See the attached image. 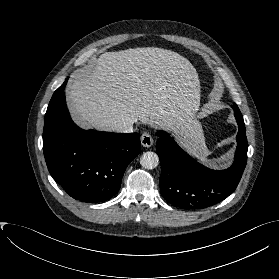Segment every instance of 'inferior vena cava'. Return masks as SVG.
<instances>
[{"label": "inferior vena cava", "mask_w": 279, "mask_h": 279, "mask_svg": "<svg viewBox=\"0 0 279 279\" xmlns=\"http://www.w3.org/2000/svg\"><path fill=\"white\" fill-rule=\"evenodd\" d=\"M119 132L131 133V132H133V126L130 125V126H127L125 128H122V129L119 130Z\"/></svg>", "instance_id": "602c4592"}]
</instances>
